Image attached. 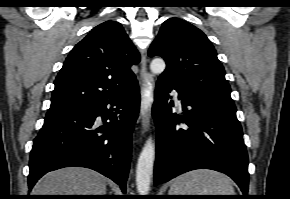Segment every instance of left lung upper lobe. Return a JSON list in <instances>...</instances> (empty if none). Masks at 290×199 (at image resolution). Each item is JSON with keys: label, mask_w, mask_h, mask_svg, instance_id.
<instances>
[{"label": "left lung upper lobe", "mask_w": 290, "mask_h": 199, "mask_svg": "<svg viewBox=\"0 0 290 199\" xmlns=\"http://www.w3.org/2000/svg\"><path fill=\"white\" fill-rule=\"evenodd\" d=\"M155 55L167 65L160 77L185 90L234 103L216 50L195 26L179 18L166 20L149 49V56Z\"/></svg>", "instance_id": "obj_1"}]
</instances>
